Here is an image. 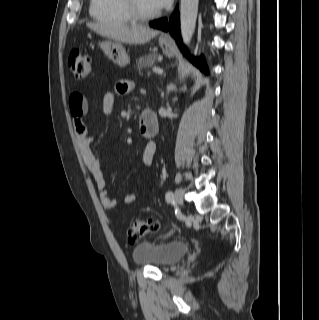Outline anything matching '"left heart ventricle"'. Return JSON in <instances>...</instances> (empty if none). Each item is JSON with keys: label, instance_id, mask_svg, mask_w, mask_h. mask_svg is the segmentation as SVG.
Segmentation results:
<instances>
[{"label": "left heart ventricle", "instance_id": "b2bd125f", "mask_svg": "<svg viewBox=\"0 0 319 320\" xmlns=\"http://www.w3.org/2000/svg\"><path fill=\"white\" fill-rule=\"evenodd\" d=\"M138 7L142 12L151 13L158 10L151 0H137Z\"/></svg>", "mask_w": 319, "mask_h": 320}]
</instances>
